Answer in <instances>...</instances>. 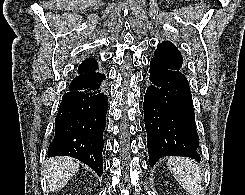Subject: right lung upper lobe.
Instances as JSON below:
<instances>
[{
  "label": "right lung upper lobe",
  "instance_id": "obj_1",
  "mask_svg": "<svg viewBox=\"0 0 245 195\" xmlns=\"http://www.w3.org/2000/svg\"><path fill=\"white\" fill-rule=\"evenodd\" d=\"M97 63L96 61L94 60H91V59H86L84 62H82V64L79 66L78 70L79 69H82V68H85V67H93V66H96Z\"/></svg>",
  "mask_w": 245,
  "mask_h": 195
}]
</instances>
